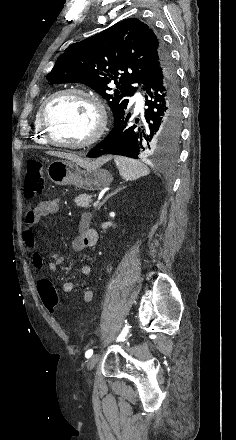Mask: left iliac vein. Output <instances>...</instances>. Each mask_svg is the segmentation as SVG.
<instances>
[{
	"instance_id": "obj_1",
	"label": "left iliac vein",
	"mask_w": 236,
	"mask_h": 440,
	"mask_svg": "<svg viewBox=\"0 0 236 440\" xmlns=\"http://www.w3.org/2000/svg\"><path fill=\"white\" fill-rule=\"evenodd\" d=\"M99 359H100L99 354H95L90 358V360L88 361V364H87L88 371H91L95 367V365L98 363Z\"/></svg>"
}]
</instances>
